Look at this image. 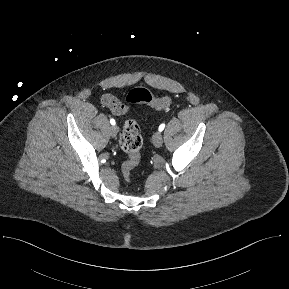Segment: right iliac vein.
Instances as JSON below:
<instances>
[{"label": "right iliac vein", "instance_id": "63e3f726", "mask_svg": "<svg viewBox=\"0 0 289 289\" xmlns=\"http://www.w3.org/2000/svg\"><path fill=\"white\" fill-rule=\"evenodd\" d=\"M118 131H119V128L115 125H113L111 128H110V135L112 137H116L117 134H118Z\"/></svg>", "mask_w": 289, "mask_h": 289}]
</instances>
